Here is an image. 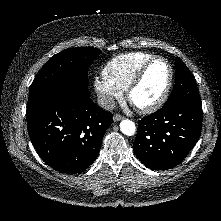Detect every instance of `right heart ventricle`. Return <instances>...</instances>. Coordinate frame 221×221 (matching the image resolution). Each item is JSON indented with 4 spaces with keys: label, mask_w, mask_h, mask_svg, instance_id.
<instances>
[{
    "label": "right heart ventricle",
    "mask_w": 221,
    "mask_h": 221,
    "mask_svg": "<svg viewBox=\"0 0 221 221\" xmlns=\"http://www.w3.org/2000/svg\"><path fill=\"white\" fill-rule=\"evenodd\" d=\"M151 57L153 55L146 52L120 54L104 66L103 76L125 91L138 69Z\"/></svg>",
    "instance_id": "right-heart-ventricle-1"
}]
</instances>
